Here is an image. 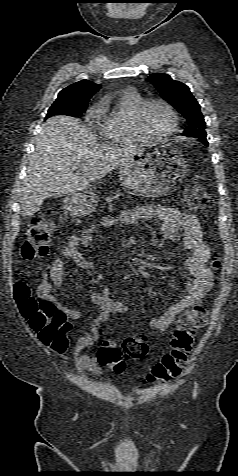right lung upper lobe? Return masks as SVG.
Wrapping results in <instances>:
<instances>
[{"label": "right lung upper lobe", "mask_w": 238, "mask_h": 476, "mask_svg": "<svg viewBox=\"0 0 238 476\" xmlns=\"http://www.w3.org/2000/svg\"><path fill=\"white\" fill-rule=\"evenodd\" d=\"M99 88V84L84 79L74 84H71L62 91H60L58 94V98H66L75 103L88 105L90 98L93 96L94 93L99 90Z\"/></svg>", "instance_id": "obj_1"}]
</instances>
